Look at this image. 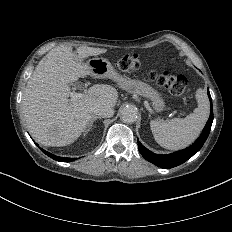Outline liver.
Returning <instances> with one entry per match:
<instances>
[{
  "label": "liver",
  "instance_id": "liver-1",
  "mask_svg": "<svg viewBox=\"0 0 232 232\" xmlns=\"http://www.w3.org/2000/svg\"><path fill=\"white\" fill-rule=\"evenodd\" d=\"M106 52L81 46L75 55L72 47L62 46L49 51L38 63L23 93L22 112L30 134L40 144H72L86 128L95 106L116 105L117 90L105 84L93 85L81 98L68 99V84L91 75V68L81 63L82 59Z\"/></svg>",
  "mask_w": 232,
  "mask_h": 232
}]
</instances>
